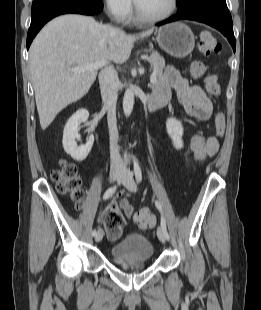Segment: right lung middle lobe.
<instances>
[{"instance_id":"right-lung-middle-lobe-1","label":"right lung middle lobe","mask_w":261,"mask_h":310,"mask_svg":"<svg viewBox=\"0 0 261 310\" xmlns=\"http://www.w3.org/2000/svg\"><path fill=\"white\" fill-rule=\"evenodd\" d=\"M40 1H43V0H33L32 4H36V3L40 2ZM95 1H101V0H95Z\"/></svg>"}]
</instances>
